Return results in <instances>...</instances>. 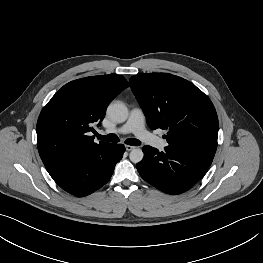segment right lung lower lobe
Segmentation results:
<instances>
[{"mask_svg": "<svg viewBox=\"0 0 263 263\" xmlns=\"http://www.w3.org/2000/svg\"><path fill=\"white\" fill-rule=\"evenodd\" d=\"M124 152V145L110 143L86 155L53 179L72 195L79 197L89 195L110 180L115 165L121 160Z\"/></svg>", "mask_w": 263, "mask_h": 263, "instance_id": "98d812e1", "label": "right lung lower lobe"}]
</instances>
